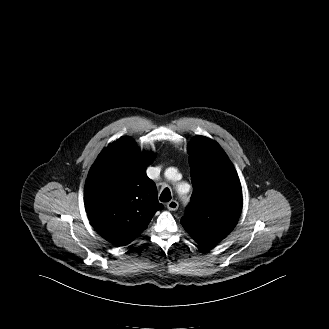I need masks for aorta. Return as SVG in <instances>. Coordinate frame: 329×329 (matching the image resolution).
Wrapping results in <instances>:
<instances>
[{
	"label": "aorta",
	"instance_id": "obj_1",
	"mask_svg": "<svg viewBox=\"0 0 329 329\" xmlns=\"http://www.w3.org/2000/svg\"><path fill=\"white\" fill-rule=\"evenodd\" d=\"M170 172L172 173V174H176L177 173V170L176 169H174V168H172V169H170Z\"/></svg>",
	"mask_w": 329,
	"mask_h": 329
}]
</instances>
